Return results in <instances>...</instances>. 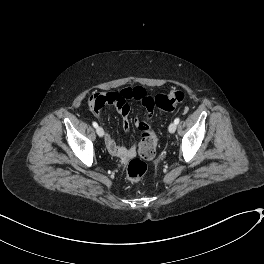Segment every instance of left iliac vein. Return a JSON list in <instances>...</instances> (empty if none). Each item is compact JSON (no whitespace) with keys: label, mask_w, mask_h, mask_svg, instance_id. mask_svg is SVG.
<instances>
[{"label":"left iliac vein","mask_w":264,"mask_h":264,"mask_svg":"<svg viewBox=\"0 0 264 264\" xmlns=\"http://www.w3.org/2000/svg\"><path fill=\"white\" fill-rule=\"evenodd\" d=\"M177 128V124H175V122L171 123L168 127V130L170 133H174L176 131Z\"/></svg>","instance_id":"left-iliac-vein-1"}]
</instances>
